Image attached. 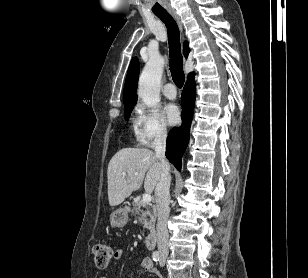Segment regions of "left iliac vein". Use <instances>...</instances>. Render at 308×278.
Here are the masks:
<instances>
[{
    "instance_id": "1",
    "label": "left iliac vein",
    "mask_w": 308,
    "mask_h": 278,
    "mask_svg": "<svg viewBox=\"0 0 308 278\" xmlns=\"http://www.w3.org/2000/svg\"><path fill=\"white\" fill-rule=\"evenodd\" d=\"M165 261H166V256H161V258H160V260H159V265H160V266H164Z\"/></svg>"
}]
</instances>
